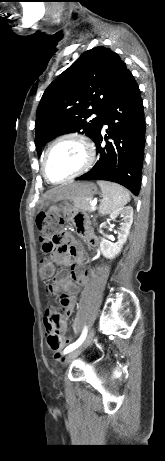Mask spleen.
Returning <instances> with one entry per match:
<instances>
[{"instance_id":"1","label":"spleen","mask_w":165,"mask_h":461,"mask_svg":"<svg viewBox=\"0 0 165 461\" xmlns=\"http://www.w3.org/2000/svg\"><path fill=\"white\" fill-rule=\"evenodd\" d=\"M97 183L102 192V200L99 206L101 214H111L130 201L129 192L119 184L106 181H98Z\"/></svg>"}]
</instances>
